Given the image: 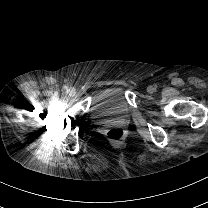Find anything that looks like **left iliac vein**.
I'll use <instances>...</instances> for the list:
<instances>
[{"mask_svg":"<svg viewBox=\"0 0 208 208\" xmlns=\"http://www.w3.org/2000/svg\"><path fill=\"white\" fill-rule=\"evenodd\" d=\"M147 91L149 93H153L155 91V88L153 86H148Z\"/></svg>","mask_w":208,"mask_h":208,"instance_id":"left-iliac-vein-1","label":"left iliac vein"}]
</instances>
